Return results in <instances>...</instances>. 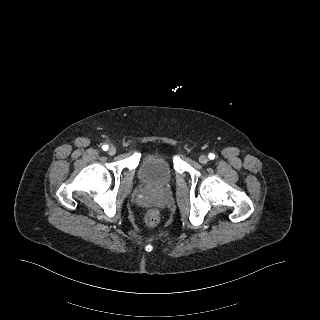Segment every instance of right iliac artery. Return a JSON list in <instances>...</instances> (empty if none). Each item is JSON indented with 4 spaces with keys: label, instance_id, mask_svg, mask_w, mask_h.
I'll use <instances>...</instances> for the list:
<instances>
[{
    "label": "right iliac artery",
    "instance_id": "obj_1",
    "mask_svg": "<svg viewBox=\"0 0 320 320\" xmlns=\"http://www.w3.org/2000/svg\"><path fill=\"white\" fill-rule=\"evenodd\" d=\"M102 149H103L104 151H107V150H108V145H103V146H102Z\"/></svg>",
    "mask_w": 320,
    "mask_h": 320
}]
</instances>
